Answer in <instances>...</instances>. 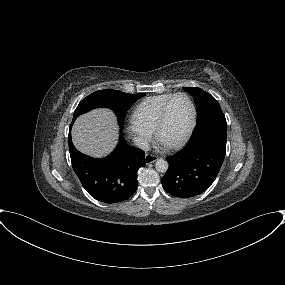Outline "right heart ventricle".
Returning <instances> with one entry per match:
<instances>
[{"label":"right heart ventricle","mask_w":285,"mask_h":285,"mask_svg":"<svg viewBox=\"0 0 285 285\" xmlns=\"http://www.w3.org/2000/svg\"><path fill=\"white\" fill-rule=\"evenodd\" d=\"M173 95L174 93H167L144 99L135 107L132 118L154 130L163 106Z\"/></svg>","instance_id":"obj_1"}]
</instances>
